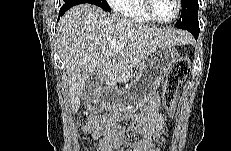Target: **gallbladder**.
Segmentation results:
<instances>
[{"mask_svg": "<svg viewBox=\"0 0 231 151\" xmlns=\"http://www.w3.org/2000/svg\"><path fill=\"white\" fill-rule=\"evenodd\" d=\"M100 84V77L97 72H94L82 90L81 97L85 103L95 100Z\"/></svg>", "mask_w": 231, "mask_h": 151, "instance_id": "bac80fb5", "label": "gallbladder"}]
</instances>
